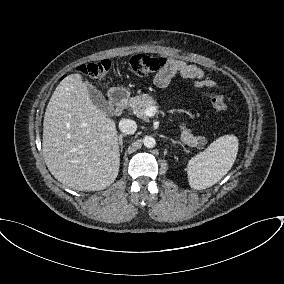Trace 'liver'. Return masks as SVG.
<instances>
[{
	"label": "liver",
	"mask_w": 284,
	"mask_h": 284,
	"mask_svg": "<svg viewBox=\"0 0 284 284\" xmlns=\"http://www.w3.org/2000/svg\"><path fill=\"white\" fill-rule=\"evenodd\" d=\"M42 150L51 174L80 191L109 187L119 172L114 120L92 102L80 74L66 76L47 105Z\"/></svg>",
	"instance_id": "6515ba94"
}]
</instances>
